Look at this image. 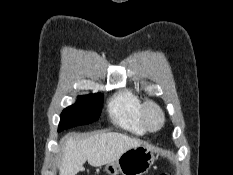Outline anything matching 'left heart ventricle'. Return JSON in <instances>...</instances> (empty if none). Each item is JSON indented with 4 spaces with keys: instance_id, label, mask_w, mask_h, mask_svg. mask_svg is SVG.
Segmentation results:
<instances>
[{
    "instance_id": "b2bd125f",
    "label": "left heart ventricle",
    "mask_w": 233,
    "mask_h": 175,
    "mask_svg": "<svg viewBox=\"0 0 233 175\" xmlns=\"http://www.w3.org/2000/svg\"><path fill=\"white\" fill-rule=\"evenodd\" d=\"M149 121L153 127H157L160 124V118H159L158 114L154 111L150 112Z\"/></svg>"
}]
</instances>
